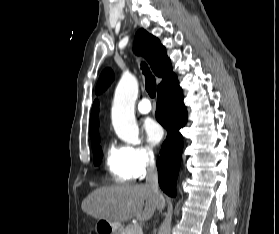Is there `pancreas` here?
Here are the masks:
<instances>
[{"mask_svg": "<svg viewBox=\"0 0 279 234\" xmlns=\"http://www.w3.org/2000/svg\"><path fill=\"white\" fill-rule=\"evenodd\" d=\"M136 225H128L123 229L121 234H141L139 231H134Z\"/></svg>", "mask_w": 279, "mask_h": 234, "instance_id": "obj_1", "label": "pancreas"}]
</instances>
